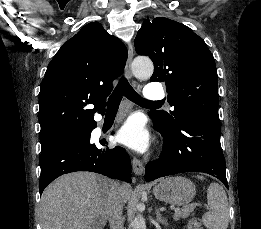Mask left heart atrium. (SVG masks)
<instances>
[{
    "label": "left heart atrium",
    "mask_w": 261,
    "mask_h": 229,
    "mask_svg": "<svg viewBox=\"0 0 261 229\" xmlns=\"http://www.w3.org/2000/svg\"><path fill=\"white\" fill-rule=\"evenodd\" d=\"M115 140L119 144L143 152L149 146L150 134L143 120L133 116L119 128Z\"/></svg>",
    "instance_id": "obj_1"
}]
</instances>
